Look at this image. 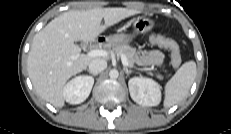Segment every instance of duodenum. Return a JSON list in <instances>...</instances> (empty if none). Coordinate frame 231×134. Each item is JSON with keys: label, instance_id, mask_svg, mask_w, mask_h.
<instances>
[{"label": "duodenum", "instance_id": "1", "mask_svg": "<svg viewBox=\"0 0 231 134\" xmlns=\"http://www.w3.org/2000/svg\"><path fill=\"white\" fill-rule=\"evenodd\" d=\"M105 42V39L103 37H98L93 41L94 46L102 45Z\"/></svg>", "mask_w": 231, "mask_h": 134}]
</instances>
